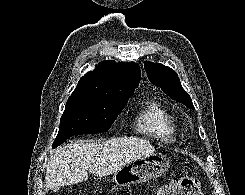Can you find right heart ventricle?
<instances>
[{
    "instance_id": "obj_1",
    "label": "right heart ventricle",
    "mask_w": 245,
    "mask_h": 195,
    "mask_svg": "<svg viewBox=\"0 0 245 195\" xmlns=\"http://www.w3.org/2000/svg\"><path fill=\"white\" fill-rule=\"evenodd\" d=\"M133 128L143 137L165 142L172 141L175 136L173 117L156 101H147L136 112Z\"/></svg>"
}]
</instances>
